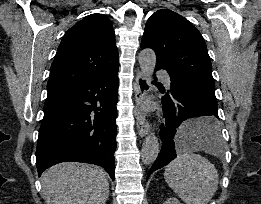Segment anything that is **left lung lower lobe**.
Instances as JSON below:
<instances>
[{
    "label": "left lung lower lobe",
    "instance_id": "0a47b994",
    "mask_svg": "<svg viewBox=\"0 0 261 204\" xmlns=\"http://www.w3.org/2000/svg\"><path fill=\"white\" fill-rule=\"evenodd\" d=\"M161 68L156 67L155 70ZM165 127L160 131L162 149L149 170L147 178L153 171L162 168L176 158V152L182 139L190 145L195 139L217 141L219 126L217 123L218 107L216 97L191 83L173 85L169 94L162 98ZM205 117L193 132L194 137L182 132L180 124L190 118ZM182 126V125H181Z\"/></svg>",
    "mask_w": 261,
    "mask_h": 204
}]
</instances>
